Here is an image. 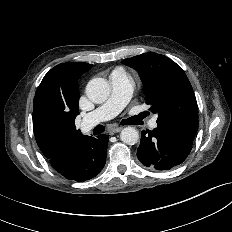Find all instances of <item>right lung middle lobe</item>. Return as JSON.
Instances as JSON below:
<instances>
[{"label": "right lung middle lobe", "mask_w": 232, "mask_h": 232, "mask_svg": "<svg viewBox=\"0 0 232 232\" xmlns=\"http://www.w3.org/2000/svg\"><path fill=\"white\" fill-rule=\"evenodd\" d=\"M43 118L49 122L52 131L58 129L65 122L63 113L60 110H48L43 114Z\"/></svg>", "instance_id": "dd1d6c3e"}]
</instances>
